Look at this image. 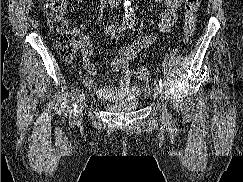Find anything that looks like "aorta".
Returning a JSON list of instances; mask_svg holds the SVG:
<instances>
[{
	"instance_id": "aorta-1",
	"label": "aorta",
	"mask_w": 243,
	"mask_h": 182,
	"mask_svg": "<svg viewBox=\"0 0 243 182\" xmlns=\"http://www.w3.org/2000/svg\"><path fill=\"white\" fill-rule=\"evenodd\" d=\"M124 5V20L125 21H132L135 17L134 11L131 8V1L130 0H123Z\"/></svg>"
}]
</instances>
